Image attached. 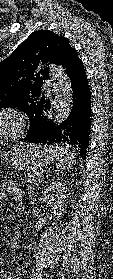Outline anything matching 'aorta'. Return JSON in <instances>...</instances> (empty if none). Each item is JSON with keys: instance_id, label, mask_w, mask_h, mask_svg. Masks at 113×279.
I'll list each match as a JSON object with an SVG mask.
<instances>
[{"instance_id": "762f6f07", "label": "aorta", "mask_w": 113, "mask_h": 279, "mask_svg": "<svg viewBox=\"0 0 113 279\" xmlns=\"http://www.w3.org/2000/svg\"><path fill=\"white\" fill-rule=\"evenodd\" d=\"M50 78L53 83L54 122L62 123L66 120L73 106V91L71 81L61 66L50 65Z\"/></svg>"}]
</instances>
